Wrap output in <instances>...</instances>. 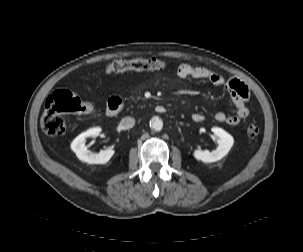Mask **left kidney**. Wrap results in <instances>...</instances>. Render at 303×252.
I'll return each mask as SVG.
<instances>
[{
    "label": "left kidney",
    "mask_w": 303,
    "mask_h": 252,
    "mask_svg": "<svg viewBox=\"0 0 303 252\" xmlns=\"http://www.w3.org/2000/svg\"><path fill=\"white\" fill-rule=\"evenodd\" d=\"M211 131L219 137L218 146L211 152L201 149H196L193 152L194 157L204 163H212L222 159L228 154L234 143L233 137L222 128L212 127Z\"/></svg>",
    "instance_id": "1"
}]
</instances>
